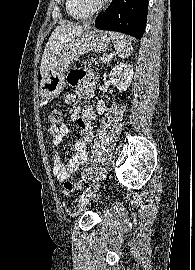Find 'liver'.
<instances>
[{
	"label": "liver",
	"instance_id": "liver-1",
	"mask_svg": "<svg viewBox=\"0 0 195 270\" xmlns=\"http://www.w3.org/2000/svg\"><path fill=\"white\" fill-rule=\"evenodd\" d=\"M89 29L87 25L65 23L57 26L52 32L42 55L40 74L42 81L46 77L50 67L60 57L67 43L75 36ZM42 83V82H41Z\"/></svg>",
	"mask_w": 195,
	"mask_h": 270
}]
</instances>
